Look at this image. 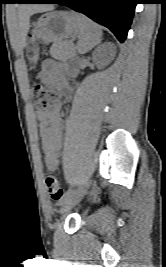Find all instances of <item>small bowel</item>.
Here are the masks:
<instances>
[{
	"mask_svg": "<svg viewBox=\"0 0 166 267\" xmlns=\"http://www.w3.org/2000/svg\"><path fill=\"white\" fill-rule=\"evenodd\" d=\"M66 72L70 76L75 75L74 69L67 68ZM39 79L45 85L55 87L66 97H70L71 89L68 86L66 75L55 60L48 59L43 62ZM60 111V106L54 105L46 110L36 112L44 161L51 170H57L59 167V152L62 146L63 132V119Z\"/></svg>",
	"mask_w": 166,
	"mask_h": 267,
	"instance_id": "c3829d8e",
	"label": "small bowel"
}]
</instances>
